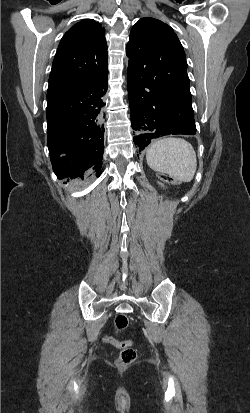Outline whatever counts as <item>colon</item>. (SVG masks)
<instances>
[{
    "label": "colon",
    "mask_w": 250,
    "mask_h": 413,
    "mask_svg": "<svg viewBox=\"0 0 250 413\" xmlns=\"http://www.w3.org/2000/svg\"><path fill=\"white\" fill-rule=\"evenodd\" d=\"M158 180L162 183H170L172 187H181L183 180L176 178L174 174H166L165 171H158L156 174ZM129 325V318L126 315H117L114 320V328L117 332L125 330ZM104 342L114 345L120 349V354L116 360L118 366H127L131 364L137 357V351L133 346L132 341L118 342L111 336H105Z\"/></svg>",
    "instance_id": "colon-1"
}]
</instances>
